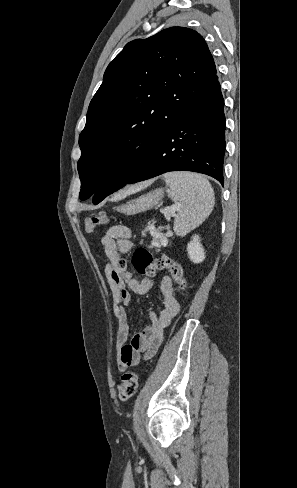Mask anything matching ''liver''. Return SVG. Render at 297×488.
<instances>
[{"label": "liver", "mask_w": 297, "mask_h": 488, "mask_svg": "<svg viewBox=\"0 0 297 488\" xmlns=\"http://www.w3.org/2000/svg\"><path fill=\"white\" fill-rule=\"evenodd\" d=\"M148 184H149V182H146V183L139 184L138 186H134V187L130 188L129 190L125 191V194L139 190V189H142V188L146 187Z\"/></svg>", "instance_id": "1"}]
</instances>
